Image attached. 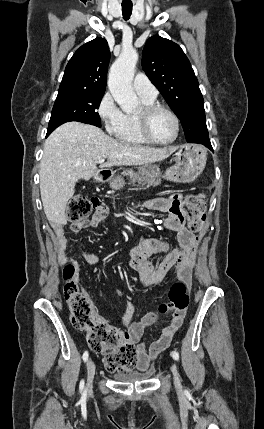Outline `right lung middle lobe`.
I'll list each match as a JSON object with an SVG mask.
<instances>
[{"mask_svg": "<svg viewBox=\"0 0 264 429\" xmlns=\"http://www.w3.org/2000/svg\"><path fill=\"white\" fill-rule=\"evenodd\" d=\"M104 93L84 91L58 92L47 130V136L58 126L69 121H79L97 127L101 126L96 109Z\"/></svg>", "mask_w": 264, "mask_h": 429, "instance_id": "1", "label": "right lung middle lobe"}]
</instances>
